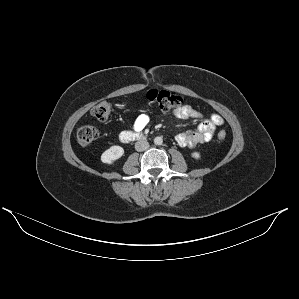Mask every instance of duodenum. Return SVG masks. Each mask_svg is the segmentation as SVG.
Here are the masks:
<instances>
[{
    "instance_id": "410a0bca",
    "label": "duodenum",
    "mask_w": 299,
    "mask_h": 299,
    "mask_svg": "<svg viewBox=\"0 0 299 299\" xmlns=\"http://www.w3.org/2000/svg\"><path fill=\"white\" fill-rule=\"evenodd\" d=\"M145 137L141 133L125 131L120 135V140L122 142L132 141V140H144Z\"/></svg>"
}]
</instances>
